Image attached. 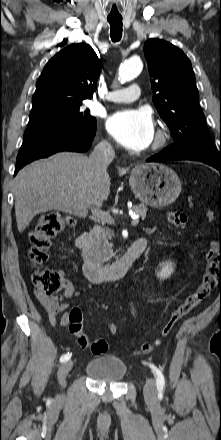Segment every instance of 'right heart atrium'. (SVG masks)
Instances as JSON below:
<instances>
[{
  "label": "right heart atrium",
  "mask_w": 221,
  "mask_h": 440,
  "mask_svg": "<svg viewBox=\"0 0 221 440\" xmlns=\"http://www.w3.org/2000/svg\"><path fill=\"white\" fill-rule=\"evenodd\" d=\"M103 146L106 147L107 149H112L113 148V144L112 142H110L109 140H104L102 142Z\"/></svg>",
  "instance_id": "d8ad5b80"
}]
</instances>
